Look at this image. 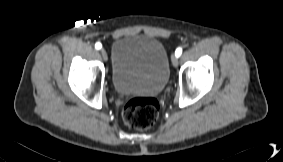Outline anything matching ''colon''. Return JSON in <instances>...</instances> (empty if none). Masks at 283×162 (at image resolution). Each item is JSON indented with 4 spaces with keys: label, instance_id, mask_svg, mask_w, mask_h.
<instances>
[{
    "label": "colon",
    "instance_id": "obj_1",
    "mask_svg": "<svg viewBox=\"0 0 283 162\" xmlns=\"http://www.w3.org/2000/svg\"><path fill=\"white\" fill-rule=\"evenodd\" d=\"M160 105L154 98L135 97L126 102L123 108L124 122L138 130L150 128L158 118Z\"/></svg>",
    "mask_w": 283,
    "mask_h": 162
}]
</instances>
